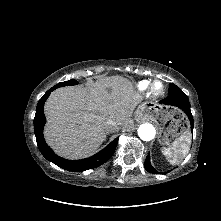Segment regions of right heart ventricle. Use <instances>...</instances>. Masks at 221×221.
Masks as SVG:
<instances>
[{"label": "right heart ventricle", "instance_id": "e07e8e85", "mask_svg": "<svg viewBox=\"0 0 221 221\" xmlns=\"http://www.w3.org/2000/svg\"><path fill=\"white\" fill-rule=\"evenodd\" d=\"M147 86H148V82L147 81H141L138 84L139 90H145L147 88Z\"/></svg>", "mask_w": 221, "mask_h": 221}]
</instances>
